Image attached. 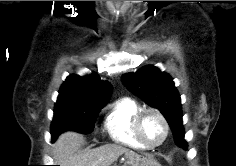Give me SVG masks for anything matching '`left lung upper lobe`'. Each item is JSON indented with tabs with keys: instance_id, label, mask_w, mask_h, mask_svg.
<instances>
[{
	"instance_id": "obj_1",
	"label": "left lung upper lobe",
	"mask_w": 236,
	"mask_h": 166,
	"mask_svg": "<svg viewBox=\"0 0 236 166\" xmlns=\"http://www.w3.org/2000/svg\"><path fill=\"white\" fill-rule=\"evenodd\" d=\"M126 87L163 114L168 124L182 122L181 99L173 79L157 67L145 66L121 77Z\"/></svg>"
}]
</instances>
